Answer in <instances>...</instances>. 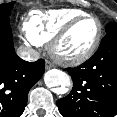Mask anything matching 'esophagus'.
<instances>
[{
	"instance_id": "esophagus-1",
	"label": "esophagus",
	"mask_w": 117,
	"mask_h": 117,
	"mask_svg": "<svg viewBox=\"0 0 117 117\" xmlns=\"http://www.w3.org/2000/svg\"><path fill=\"white\" fill-rule=\"evenodd\" d=\"M52 67H54V64L50 60H47L45 64V68L50 69Z\"/></svg>"
}]
</instances>
